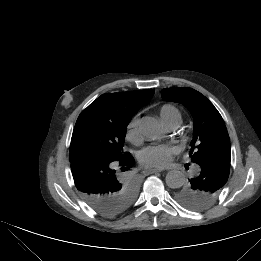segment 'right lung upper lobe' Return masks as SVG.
Returning a JSON list of instances; mask_svg holds the SVG:
<instances>
[{
  "label": "right lung upper lobe",
  "instance_id": "obj_1",
  "mask_svg": "<svg viewBox=\"0 0 261 261\" xmlns=\"http://www.w3.org/2000/svg\"><path fill=\"white\" fill-rule=\"evenodd\" d=\"M153 89L103 94L93 103L99 104L114 116L130 121L132 116L154 95Z\"/></svg>",
  "mask_w": 261,
  "mask_h": 261
}]
</instances>
